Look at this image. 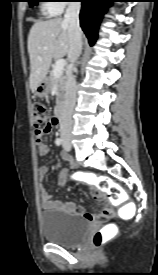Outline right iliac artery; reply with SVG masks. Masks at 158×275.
<instances>
[{"label": "right iliac artery", "instance_id": "82829eb1", "mask_svg": "<svg viewBox=\"0 0 158 275\" xmlns=\"http://www.w3.org/2000/svg\"><path fill=\"white\" fill-rule=\"evenodd\" d=\"M55 143H56V145H61V143H62V139L61 138H57L56 140H55Z\"/></svg>", "mask_w": 158, "mask_h": 275}]
</instances>
